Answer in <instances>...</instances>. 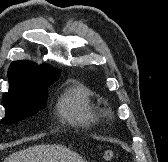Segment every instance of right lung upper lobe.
<instances>
[{
	"instance_id": "obj_1",
	"label": "right lung upper lobe",
	"mask_w": 168,
	"mask_h": 162,
	"mask_svg": "<svg viewBox=\"0 0 168 162\" xmlns=\"http://www.w3.org/2000/svg\"><path fill=\"white\" fill-rule=\"evenodd\" d=\"M60 71L48 66H38L34 63L20 60L14 61L9 66L8 77L10 82L9 92L26 84H41L56 81ZM8 92V93H9Z\"/></svg>"
}]
</instances>
